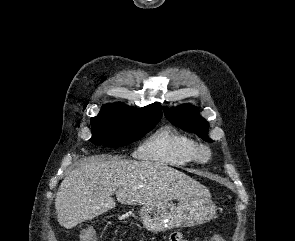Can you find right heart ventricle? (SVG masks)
<instances>
[{"label": "right heart ventricle", "instance_id": "right-heart-ventricle-1", "mask_svg": "<svg viewBox=\"0 0 295 241\" xmlns=\"http://www.w3.org/2000/svg\"><path fill=\"white\" fill-rule=\"evenodd\" d=\"M197 143L171 128L151 135L137 150L139 158L173 167L186 166L196 160Z\"/></svg>", "mask_w": 295, "mask_h": 241}]
</instances>
